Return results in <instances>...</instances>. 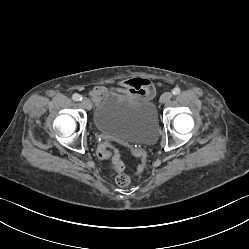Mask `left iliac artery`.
<instances>
[{"instance_id": "left-iliac-artery-1", "label": "left iliac artery", "mask_w": 249, "mask_h": 249, "mask_svg": "<svg viewBox=\"0 0 249 249\" xmlns=\"http://www.w3.org/2000/svg\"><path fill=\"white\" fill-rule=\"evenodd\" d=\"M180 88L179 87H175L173 90H172V93H173V95H178V94H180Z\"/></svg>"}]
</instances>
